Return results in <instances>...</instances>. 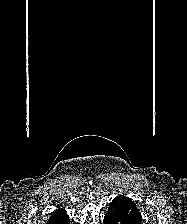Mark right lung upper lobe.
<instances>
[{
    "label": "right lung upper lobe",
    "instance_id": "right-lung-upper-lobe-1",
    "mask_svg": "<svg viewBox=\"0 0 187 224\" xmlns=\"http://www.w3.org/2000/svg\"><path fill=\"white\" fill-rule=\"evenodd\" d=\"M64 212H62V210H55V212L52 213V216H55V215H59V214H63Z\"/></svg>",
    "mask_w": 187,
    "mask_h": 224
}]
</instances>
